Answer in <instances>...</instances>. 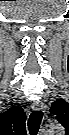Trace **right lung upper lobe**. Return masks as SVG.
I'll return each mask as SVG.
<instances>
[{"label": "right lung upper lobe", "mask_w": 69, "mask_h": 135, "mask_svg": "<svg viewBox=\"0 0 69 135\" xmlns=\"http://www.w3.org/2000/svg\"><path fill=\"white\" fill-rule=\"evenodd\" d=\"M25 119L26 115L21 107L15 106L8 109L0 115V126L10 134L16 133L17 135L25 134Z\"/></svg>", "instance_id": "obj_1"}]
</instances>
